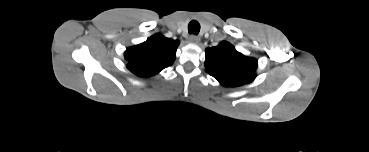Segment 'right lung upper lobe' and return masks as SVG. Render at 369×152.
Here are the masks:
<instances>
[{"instance_id": "cb5924a9", "label": "right lung upper lobe", "mask_w": 369, "mask_h": 152, "mask_svg": "<svg viewBox=\"0 0 369 152\" xmlns=\"http://www.w3.org/2000/svg\"><path fill=\"white\" fill-rule=\"evenodd\" d=\"M178 45V40L155 34L125 51L127 68L140 77L155 75L174 62Z\"/></svg>"}]
</instances>
